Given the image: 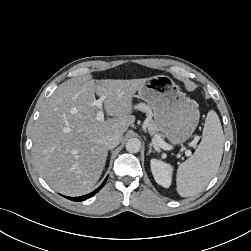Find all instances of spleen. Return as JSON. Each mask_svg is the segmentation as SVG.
I'll return each instance as SVG.
<instances>
[{
    "label": "spleen",
    "mask_w": 251,
    "mask_h": 251,
    "mask_svg": "<svg viewBox=\"0 0 251 251\" xmlns=\"http://www.w3.org/2000/svg\"><path fill=\"white\" fill-rule=\"evenodd\" d=\"M224 134L217 113L207 114L202 140L194 154L177 170V192L181 197L201 193L219 169L223 154Z\"/></svg>",
    "instance_id": "1"
}]
</instances>
